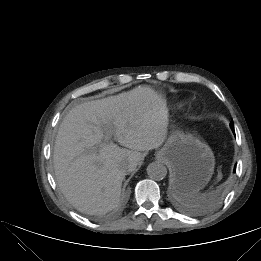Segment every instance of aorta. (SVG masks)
<instances>
[{
    "instance_id": "obj_1",
    "label": "aorta",
    "mask_w": 261,
    "mask_h": 261,
    "mask_svg": "<svg viewBox=\"0 0 261 261\" xmlns=\"http://www.w3.org/2000/svg\"><path fill=\"white\" fill-rule=\"evenodd\" d=\"M148 176L156 181L163 180L167 175V168L159 162H152L147 167Z\"/></svg>"
}]
</instances>
